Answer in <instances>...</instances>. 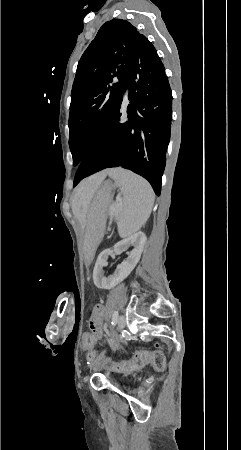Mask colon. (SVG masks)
<instances>
[{"label":"colon","mask_w":241,"mask_h":450,"mask_svg":"<svg viewBox=\"0 0 241 450\" xmlns=\"http://www.w3.org/2000/svg\"><path fill=\"white\" fill-rule=\"evenodd\" d=\"M95 333L94 331H85L84 336L82 337V344L90 347L94 343ZM99 356V351H90L88 355H86V362H92L93 357ZM168 356V351L166 349H161L159 352H139L134 359L120 365H113L112 368L117 371L122 372H131L141 368L145 363L152 362L154 363L155 369L160 372L165 367V360Z\"/></svg>","instance_id":"5ec220e1"}]
</instances>
